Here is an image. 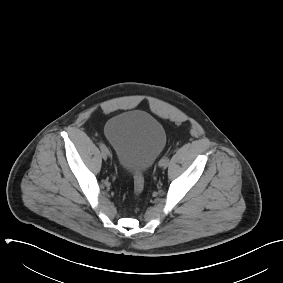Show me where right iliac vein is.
Here are the masks:
<instances>
[{"instance_id": "obj_1", "label": "right iliac vein", "mask_w": 283, "mask_h": 283, "mask_svg": "<svg viewBox=\"0 0 283 283\" xmlns=\"http://www.w3.org/2000/svg\"><path fill=\"white\" fill-rule=\"evenodd\" d=\"M101 156L104 160H107L109 153L102 151Z\"/></svg>"}]
</instances>
